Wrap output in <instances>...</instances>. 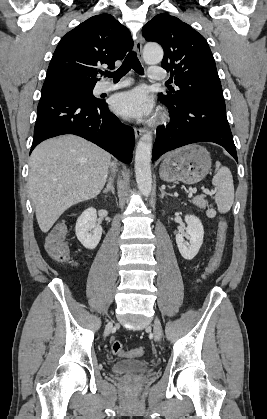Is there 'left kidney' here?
<instances>
[{
    "instance_id": "obj_1",
    "label": "left kidney",
    "mask_w": 267,
    "mask_h": 419,
    "mask_svg": "<svg viewBox=\"0 0 267 419\" xmlns=\"http://www.w3.org/2000/svg\"><path fill=\"white\" fill-rule=\"evenodd\" d=\"M185 222L187 224L186 232L176 235V243L182 257L192 260L203 244L204 228L200 219L194 215H186ZM184 238H187L189 242Z\"/></svg>"
}]
</instances>
